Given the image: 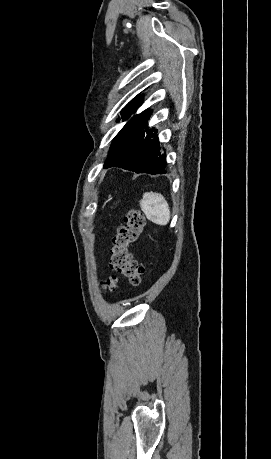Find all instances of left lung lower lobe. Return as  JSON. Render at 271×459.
Instances as JSON below:
<instances>
[{"label": "left lung lower lobe", "mask_w": 271, "mask_h": 459, "mask_svg": "<svg viewBox=\"0 0 271 459\" xmlns=\"http://www.w3.org/2000/svg\"><path fill=\"white\" fill-rule=\"evenodd\" d=\"M151 111L132 118L113 139L104 168L120 167L136 173H166V152L156 129L147 127Z\"/></svg>", "instance_id": "obj_1"}]
</instances>
